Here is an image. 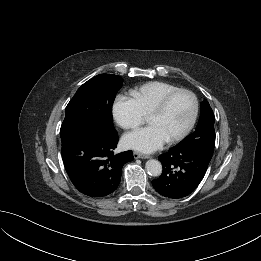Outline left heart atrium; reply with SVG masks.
<instances>
[{"label": "left heart atrium", "mask_w": 261, "mask_h": 261, "mask_svg": "<svg viewBox=\"0 0 261 261\" xmlns=\"http://www.w3.org/2000/svg\"><path fill=\"white\" fill-rule=\"evenodd\" d=\"M167 140V135L155 124L128 132L123 137V143L127 148L143 153L160 149Z\"/></svg>", "instance_id": "39dd6f15"}]
</instances>
